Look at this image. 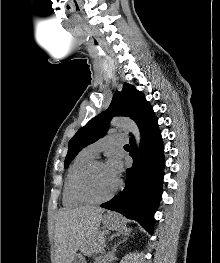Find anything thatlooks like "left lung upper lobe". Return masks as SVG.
I'll use <instances>...</instances> for the list:
<instances>
[{"instance_id":"1","label":"left lung upper lobe","mask_w":220,"mask_h":263,"mask_svg":"<svg viewBox=\"0 0 220 263\" xmlns=\"http://www.w3.org/2000/svg\"><path fill=\"white\" fill-rule=\"evenodd\" d=\"M114 116L130 117L137 123L140 132L157 119L144 95L132 85L125 83L121 92H115L108 109L81 127L69 141L65 168L81 149L105 135L109 122Z\"/></svg>"}]
</instances>
